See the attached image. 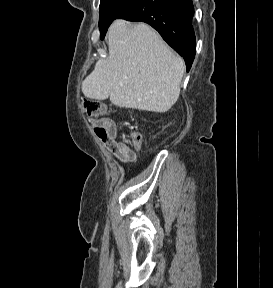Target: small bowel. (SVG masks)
<instances>
[{
	"label": "small bowel",
	"instance_id": "c3829d8e",
	"mask_svg": "<svg viewBox=\"0 0 273 288\" xmlns=\"http://www.w3.org/2000/svg\"><path fill=\"white\" fill-rule=\"evenodd\" d=\"M100 126L105 130L106 137L101 141L106 148L114 154L121 162H132L136 159L139 145H135V149H130L126 145L117 142V125L111 119H103Z\"/></svg>",
	"mask_w": 273,
	"mask_h": 288
}]
</instances>
